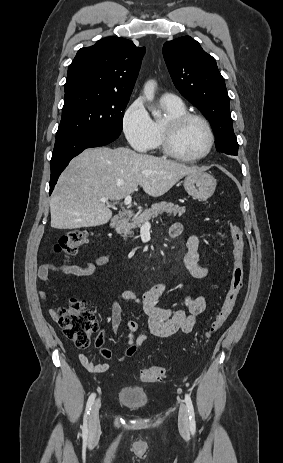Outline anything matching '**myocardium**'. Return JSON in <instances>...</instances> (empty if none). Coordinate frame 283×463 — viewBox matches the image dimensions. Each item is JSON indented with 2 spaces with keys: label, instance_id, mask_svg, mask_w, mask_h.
<instances>
[{
  "label": "myocardium",
  "instance_id": "1",
  "mask_svg": "<svg viewBox=\"0 0 283 463\" xmlns=\"http://www.w3.org/2000/svg\"><path fill=\"white\" fill-rule=\"evenodd\" d=\"M190 120H199L200 122H202L207 130L208 137H209L208 147L205 150V152L195 157H187V156L182 155L176 149V146H175V139H176V136L179 130L186 122ZM214 144H215V134H214L212 125L209 122V120L201 114L194 113V112H185L180 115L166 118L162 124V130H161L162 150L164 151L166 155H168L169 157L175 160L185 162V163H195V162L201 161L210 155V153L212 152L214 148Z\"/></svg>",
  "mask_w": 283,
  "mask_h": 463
}]
</instances>
